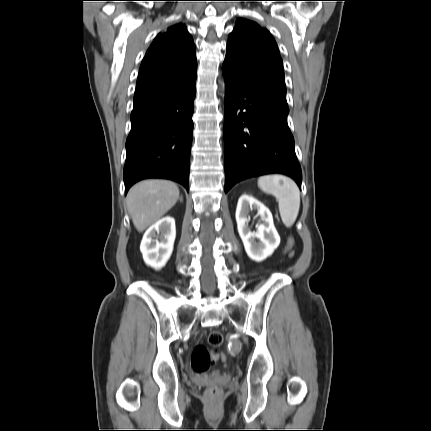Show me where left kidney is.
<instances>
[{
    "instance_id": "5707ae66",
    "label": "left kidney",
    "mask_w": 431,
    "mask_h": 431,
    "mask_svg": "<svg viewBox=\"0 0 431 431\" xmlns=\"http://www.w3.org/2000/svg\"><path fill=\"white\" fill-rule=\"evenodd\" d=\"M257 210L260 221L257 230L251 231L248 222L250 211ZM238 233L247 255L254 261L261 262L272 255L280 244V236L274 226L270 210L255 198L242 195L236 208Z\"/></svg>"
}]
</instances>
